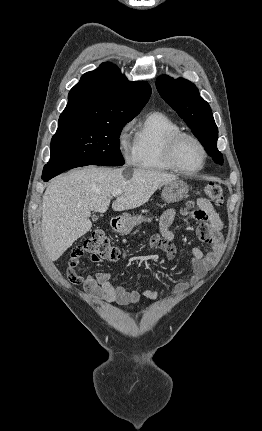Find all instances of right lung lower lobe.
Masks as SVG:
<instances>
[{
    "label": "right lung lower lobe",
    "mask_w": 262,
    "mask_h": 431,
    "mask_svg": "<svg viewBox=\"0 0 262 431\" xmlns=\"http://www.w3.org/2000/svg\"><path fill=\"white\" fill-rule=\"evenodd\" d=\"M89 164H82V163H65V164H58V165H48L46 164L43 169L42 173V179L44 181H48L51 178L57 176L58 174L80 166H86Z\"/></svg>",
    "instance_id": "98d812e1"
}]
</instances>
